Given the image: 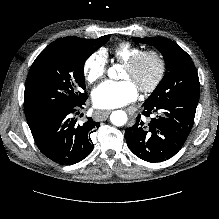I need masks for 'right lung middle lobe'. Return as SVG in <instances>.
Segmentation results:
<instances>
[{
    "label": "right lung middle lobe",
    "mask_w": 219,
    "mask_h": 219,
    "mask_svg": "<svg viewBox=\"0 0 219 219\" xmlns=\"http://www.w3.org/2000/svg\"><path fill=\"white\" fill-rule=\"evenodd\" d=\"M110 38H60L32 64L24 92L26 117L52 107H75L85 101L83 67L87 58Z\"/></svg>",
    "instance_id": "right-lung-middle-lobe-1"
}]
</instances>
